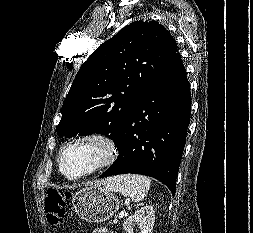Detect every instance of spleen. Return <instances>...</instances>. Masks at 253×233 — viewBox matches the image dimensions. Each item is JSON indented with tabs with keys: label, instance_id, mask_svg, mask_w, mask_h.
I'll use <instances>...</instances> for the list:
<instances>
[{
	"label": "spleen",
	"instance_id": "3e777b00",
	"mask_svg": "<svg viewBox=\"0 0 253 233\" xmlns=\"http://www.w3.org/2000/svg\"><path fill=\"white\" fill-rule=\"evenodd\" d=\"M151 180L142 175L123 174L107 180L105 188L111 192H120L123 196H129L132 201H142L149 190Z\"/></svg>",
	"mask_w": 253,
	"mask_h": 233
}]
</instances>
